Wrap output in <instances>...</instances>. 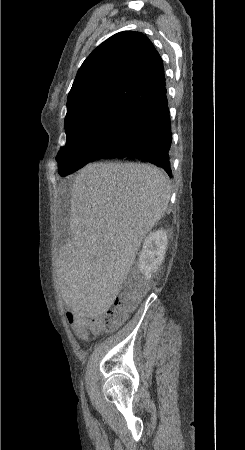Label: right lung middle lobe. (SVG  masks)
I'll list each match as a JSON object with an SVG mask.
<instances>
[{
  "label": "right lung middle lobe",
  "mask_w": 245,
  "mask_h": 450,
  "mask_svg": "<svg viewBox=\"0 0 245 450\" xmlns=\"http://www.w3.org/2000/svg\"><path fill=\"white\" fill-rule=\"evenodd\" d=\"M136 110L112 103L87 106L65 119L66 145L56 157L58 172L68 175L106 152L126 135Z\"/></svg>",
  "instance_id": "obj_1"
}]
</instances>
